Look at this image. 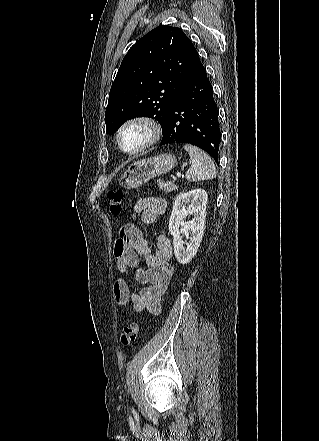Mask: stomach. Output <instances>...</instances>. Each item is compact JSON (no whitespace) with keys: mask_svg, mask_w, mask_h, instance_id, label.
<instances>
[{"mask_svg":"<svg viewBox=\"0 0 319 441\" xmlns=\"http://www.w3.org/2000/svg\"><path fill=\"white\" fill-rule=\"evenodd\" d=\"M175 164L176 158L171 154L136 161L122 173L119 186L126 189L138 188L151 178L171 171Z\"/></svg>","mask_w":319,"mask_h":441,"instance_id":"0dacf381","label":"stomach"}]
</instances>
